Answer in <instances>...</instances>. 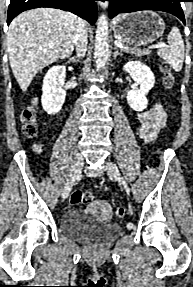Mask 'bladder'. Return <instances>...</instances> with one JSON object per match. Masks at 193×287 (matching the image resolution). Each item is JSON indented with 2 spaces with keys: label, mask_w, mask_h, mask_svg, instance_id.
<instances>
[{
  "label": "bladder",
  "mask_w": 193,
  "mask_h": 287,
  "mask_svg": "<svg viewBox=\"0 0 193 287\" xmlns=\"http://www.w3.org/2000/svg\"><path fill=\"white\" fill-rule=\"evenodd\" d=\"M60 231L74 240L97 244L116 238L122 228L110 220L85 215V210L70 209L61 218Z\"/></svg>",
  "instance_id": "31cf9c89"
}]
</instances>
